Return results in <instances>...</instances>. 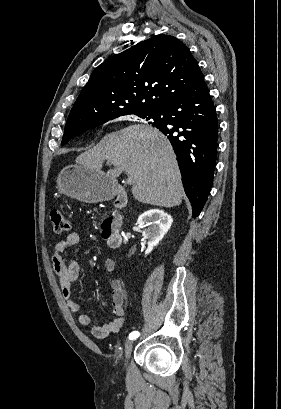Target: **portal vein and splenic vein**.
Segmentation results:
<instances>
[{
    "label": "portal vein and splenic vein",
    "mask_w": 281,
    "mask_h": 409,
    "mask_svg": "<svg viewBox=\"0 0 281 409\" xmlns=\"http://www.w3.org/2000/svg\"><path fill=\"white\" fill-rule=\"evenodd\" d=\"M107 164H111V162H107ZM126 182L128 185H135L137 182V179L135 176H128L126 179Z\"/></svg>",
    "instance_id": "obj_1"
}]
</instances>
